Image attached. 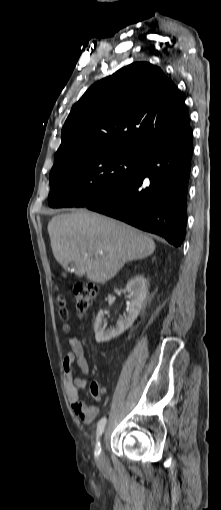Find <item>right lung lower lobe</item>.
I'll return each instance as SVG.
<instances>
[{
	"label": "right lung lower lobe",
	"mask_w": 221,
	"mask_h": 510,
	"mask_svg": "<svg viewBox=\"0 0 221 510\" xmlns=\"http://www.w3.org/2000/svg\"><path fill=\"white\" fill-rule=\"evenodd\" d=\"M192 135L190 127L148 144L137 173L112 193L85 207L162 236L179 247L186 229Z\"/></svg>",
	"instance_id": "right-lung-lower-lobe-1"
}]
</instances>
